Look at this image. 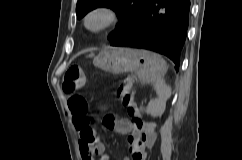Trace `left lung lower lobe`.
<instances>
[{"mask_svg":"<svg viewBox=\"0 0 242 160\" xmlns=\"http://www.w3.org/2000/svg\"><path fill=\"white\" fill-rule=\"evenodd\" d=\"M190 0H148L140 17L112 46L152 50L170 58L179 68L189 22Z\"/></svg>","mask_w":242,"mask_h":160,"instance_id":"1","label":"left lung lower lobe"}]
</instances>
